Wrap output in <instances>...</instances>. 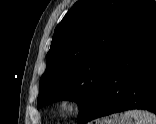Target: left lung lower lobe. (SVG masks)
Wrapping results in <instances>:
<instances>
[{"instance_id": "obj_1", "label": "left lung lower lobe", "mask_w": 156, "mask_h": 124, "mask_svg": "<svg viewBox=\"0 0 156 124\" xmlns=\"http://www.w3.org/2000/svg\"><path fill=\"white\" fill-rule=\"evenodd\" d=\"M130 109L156 114V13L129 42L79 124Z\"/></svg>"}]
</instances>
